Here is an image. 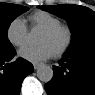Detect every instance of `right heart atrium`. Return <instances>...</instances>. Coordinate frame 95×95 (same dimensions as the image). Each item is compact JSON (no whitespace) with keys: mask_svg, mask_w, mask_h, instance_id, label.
Masks as SVG:
<instances>
[{"mask_svg":"<svg viewBox=\"0 0 95 95\" xmlns=\"http://www.w3.org/2000/svg\"><path fill=\"white\" fill-rule=\"evenodd\" d=\"M6 36L12 45L24 46L28 41V30L24 21L21 18L13 19L7 26Z\"/></svg>","mask_w":95,"mask_h":95,"instance_id":"d8ad5b80","label":"right heart atrium"}]
</instances>
